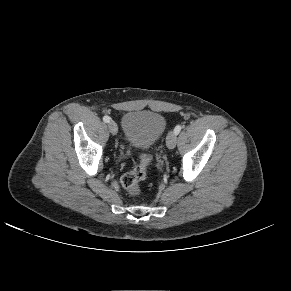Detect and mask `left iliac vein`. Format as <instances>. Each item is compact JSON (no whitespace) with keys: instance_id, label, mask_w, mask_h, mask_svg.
<instances>
[{"instance_id":"obj_1","label":"left iliac vein","mask_w":291,"mask_h":291,"mask_svg":"<svg viewBox=\"0 0 291 291\" xmlns=\"http://www.w3.org/2000/svg\"><path fill=\"white\" fill-rule=\"evenodd\" d=\"M176 143H177V135L173 131L169 132L166 138L167 147L169 149H173L176 146Z\"/></svg>"}]
</instances>
